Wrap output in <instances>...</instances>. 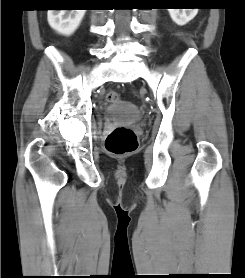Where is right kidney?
<instances>
[{"mask_svg": "<svg viewBox=\"0 0 245 278\" xmlns=\"http://www.w3.org/2000/svg\"><path fill=\"white\" fill-rule=\"evenodd\" d=\"M86 10H48V23L58 33L71 35L79 27Z\"/></svg>", "mask_w": 245, "mask_h": 278, "instance_id": "ca27d5eb", "label": "right kidney"}]
</instances>
